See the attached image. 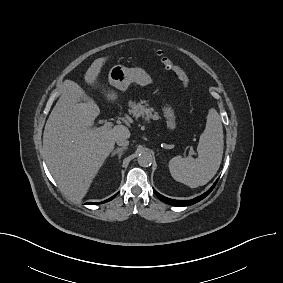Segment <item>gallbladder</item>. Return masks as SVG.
<instances>
[{
    "mask_svg": "<svg viewBox=\"0 0 283 283\" xmlns=\"http://www.w3.org/2000/svg\"><path fill=\"white\" fill-rule=\"evenodd\" d=\"M81 101L84 102V101H86V99L85 98H81Z\"/></svg>",
    "mask_w": 283,
    "mask_h": 283,
    "instance_id": "obj_1",
    "label": "gallbladder"
}]
</instances>
